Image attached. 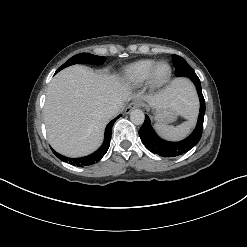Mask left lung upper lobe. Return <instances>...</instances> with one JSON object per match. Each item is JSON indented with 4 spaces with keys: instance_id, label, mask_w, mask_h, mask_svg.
Instances as JSON below:
<instances>
[{
    "instance_id": "left-lung-upper-lobe-1",
    "label": "left lung upper lobe",
    "mask_w": 247,
    "mask_h": 247,
    "mask_svg": "<svg viewBox=\"0 0 247 247\" xmlns=\"http://www.w3.org/2000/svg\"><path fill=\"white\" fill-rule=\"evenodd\" d=\"M172 60L175 66V75L178 76H197L195 71L191 68V66L180 56L172 55Z\"/></svg>"
}]
</instances>
